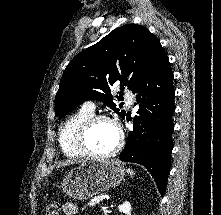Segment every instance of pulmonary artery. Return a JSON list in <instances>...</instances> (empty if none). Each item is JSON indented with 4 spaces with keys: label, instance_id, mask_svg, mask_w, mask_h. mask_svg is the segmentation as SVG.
Masks as SVG:
<instances>
[{
    "label": "pulmonary artery",
    "instance_id": "obj_1",
    "mask_svg": "<svg viewBox=\"0 0 221 215\" xmlns=\"http://www.w3.org/2000/svg\"><path fill=\"white\" fill-rule=\"evenodd\" d=\"M125 98H126V100H127V103H128L129 105H131V104H132V97H131V95H130V94H126V95H125ZM83 108H85L86 110H89V111H91V112H94V110H95V105H94L92 102H86V103L83 105Z\"/></svg>",
    "mask_w": 221,
    "mask_h": 215
}]
</instances>
